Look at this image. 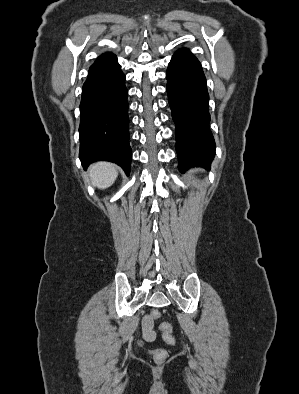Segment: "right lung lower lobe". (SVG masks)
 <instances>
[{
	"instance_id": "1",
	"label": "right lung lower lobe",
	"mask_w": 299,
	"mask_h": 394,
	"mask_svg": "<svg viewBox=\"0 0 299 394\" xmlns=\"http://www.w3.org/2000/svg\"><path fill=\"white\" fill-rule=\"evenodd\" d=\"M128 91L114 54H103L90 67L80 103V152L84 168L97 160L120 165L129 175Z\"/></svg>"
}]
</instances>
